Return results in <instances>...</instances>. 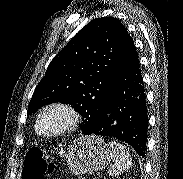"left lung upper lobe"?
<instances>
[{
    "mask_svg": "<svg viewBox=\"0 0 183 179\" xmlns=\"http://www.w3.org/2000/svg\"><path fill=\"white\" fill-rule=\"evenodd\" d=\"M129 34L113 17L93 19L54 57L38 83L28 114L54 102L73 105L87 134L109 98Z\"/></svg>",
    "mask_w": 183,
    "mask_h": 179,
    "instance_id": "left-lung-upper-lobe-1",
    "label": "left lung upper lobe"
}]
</instances>
